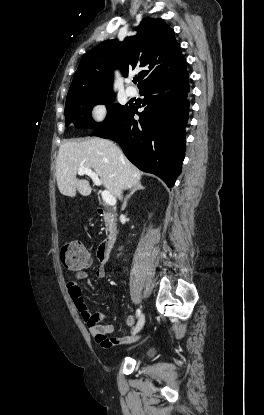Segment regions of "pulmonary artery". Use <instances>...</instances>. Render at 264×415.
<instances>
[{
    "mask_svg": "<svg viewBox=\"0 0 264 415\" xmlns=\"http://www.w3.org/2000/svg\"><path fill=\"white\" fill-rule=\"evenodd\" d=\"M126 92L129 96H135L137 91L135 88L128 86Z\"/></svg>",
    "mask_w": 264,
    "mask_h": 415,
    "instance_id": "pulmonary-artery-1",
    "label": "pulmonary artery"
}]
</instances>
